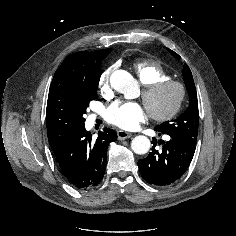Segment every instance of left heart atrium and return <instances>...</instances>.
<instances>
[{
	"mask_svg": "<svg viewBox=\"0 0 236 236\" xmlns=\"http://www.w3.org/2000/svg\"><path fill=\"white\" fill-rule=\"evenodd\" d=\"M146 118V108L136 102H117L107 112L108 122L125 130L138 128Z\"/></svg>",
	"mask_w": 236,
	"mask_h": 236,
	"instance_id": "left-heart-atrium-1",
	"label": "left heart atrium"
}]
</instances>
